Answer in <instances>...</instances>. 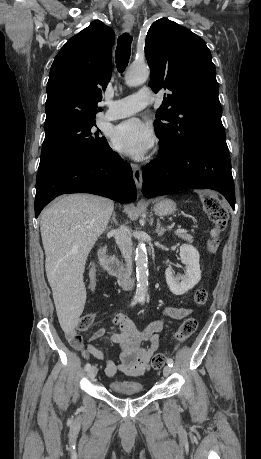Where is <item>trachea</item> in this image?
<instances>
[{
  "instance_id": "trachea-1",
  "label": "trachea",
  "mask_w": 261,
  "mask_h": 459,
  "mask_svg": "<svg viewBox=\"0 0 261 459\" xmlns=\"http://www.w3.org/2000/svg\"><path fill=\"white\" fill-rule=\"evenodd\" d=\"M131 43L132 37L128 33H124L118 38L115 51V62L120 73H123L128 65L131 52Z\"/></svg>"
}]
</instances>
